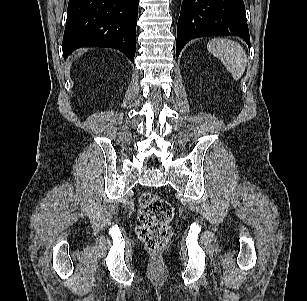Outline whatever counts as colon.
I'll list each match as a JSON object with an SVG mask.
<instances>
[{
	"label": "colon",
	"mask_w": 307,
	"mask_h": 301,
	"mask_svg": "<svg viewBox=\"0 0 307 301\" xmlns=\"http://www.w3.org/2000/svg\"><path fill=\"white\" fill-rule=\"evenodd\" d=\"M172 218L173 208L166 199L151 192L141 195L138 208L141 225L137 234L148 249L159 250L168 244L173 234Z\"/></svg>",
	"instance_id": "5ec220e1"
}]
</instances>
